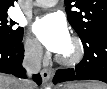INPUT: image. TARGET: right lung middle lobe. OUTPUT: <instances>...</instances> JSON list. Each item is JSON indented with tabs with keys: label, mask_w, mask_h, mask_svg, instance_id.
<instances>
[{
	"label": "right lung middle lobe",
	"mask_w": 107,
	"mask_h": 89,
	"mask_svg": "<svg viewBox=\"0 0 107 89\" xmlns=\"http://www.w3.org/2000/svg\"><path fill=\"white\" fill-rule=\"evenodd\" d=\"M7 17V14H0V41L15 44L22 38L23 28H13L16 23L12 20L9 21Z\"/></svg>",
	"instance_id": "1"
}]
</instances>
